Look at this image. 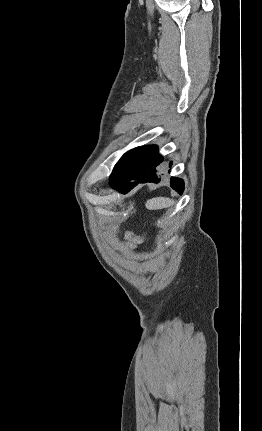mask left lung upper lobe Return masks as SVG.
I'll return each mask as SVG.
<instances>
[{
	"instance_id": "1",
	"label": "left lung upper lobe",
	"mask_w": 262,
	"mask_h": 431,
	"mask_svg": "<svg viewBox=\"0 0 262 431\" xmlns=\"http://www.w3.org/2000/svg\"><path fill=\"white\" fill-rule=\"evenodd\" d=\"M139 148L140 147H137L125 153L115 165L109 178V184L113 189L119 188L129 181L131 177V165Z\"/></svg>"
}]
</instances>
